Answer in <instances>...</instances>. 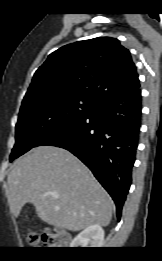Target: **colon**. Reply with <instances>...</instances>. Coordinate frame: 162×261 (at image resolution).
Masks as SVG:
<instances>
[{
    "mask_svg": "<svg viewBox=\"0 0 162 261\" xmlns=\"http://www.w3.org/2000/svg\"><path fill=\"white\" fill-rule=\"evenodd\" d=\"M27 241L32 246L38 245L41 241L44 246L51 249H62L67 245L65 237L55 230L45 232L41 236L35 233H29L27 235Z\"/></svg>",
    "mask_w": 162,
    "mask_h": 261,
    "instance_id": "5ec220e1",
    "label": "colon"
}]
</instances>
